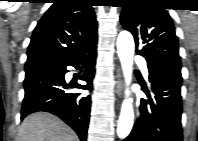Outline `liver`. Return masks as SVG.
Returning a JSON list of instances; mask_svg holds the SVG:
<instances>
[{"mask_svg": "<svg viewBox=\"0 0 198 141\" xmlns=\"http://www.w3.org/2000/svg\"><path fill=\"white\" fill-rule=\"evenodd\" d=\"M18 141H78L76 133L58 117L45 112L27 116L18 132Z\"/></svg>", "mask_w": 198, "mask_h": 141, "instance_id": "6515ba94", "label": "liver"}]
</instances>
